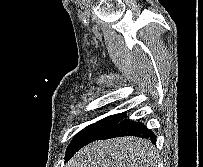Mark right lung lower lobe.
Listing matches in <instances>:
<instances>
[{"instance_id": "right-lung-lower-lobe-1", "label": "right lung lower lobe", "mask_w": 203, "mask_h": 167, "mask_svg": "<svg viewBox=\"0 0 203 167\" xmlns=\"http://www.w3.org/2000/svg\"><path fill=\"white\" fill-rule=\"evenodd\" d=\"M126 117L127 115L118 124H116L111 130H109L101 137L96 138L95 140L110 139V138L123 137V136H137V137L150 139L152 143L156 142L155 134L151 130H149L144 124H142L141 122L131 121L129 119H126ZM72 156L73 155L68 154L66 152V158H65L66 161H68Z\"/></svg>"}]
</instances>
